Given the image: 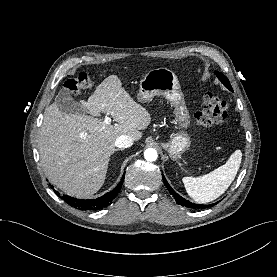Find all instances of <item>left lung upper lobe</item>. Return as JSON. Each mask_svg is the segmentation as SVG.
<instances>
[{
	"instance_id": "5c2ea615",
	"label": "left lung upper lobe",
	"mask_w": 277,
	"mask_h": 277,
	"mask_svg": "<svg viewBox=\"0 0 277 277\" xmlns=\"http://www.w3.org/2000/svg\"><path fill=\"white\" fill-rule=\"evenodd\" d=\"M215 74L217 75V77L219 78V80L230 90L233 91L229 80L227 79L226 76H224L222 73L220 72H215Z\"/></svg>"
}]
</instances>
